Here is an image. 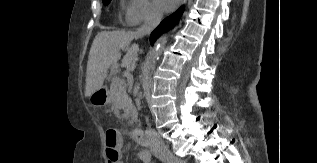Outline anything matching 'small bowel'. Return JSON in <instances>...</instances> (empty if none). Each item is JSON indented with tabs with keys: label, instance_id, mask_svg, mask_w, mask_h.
I'll return each mask as SVG.
<instances>
[{
	"label": "small bowel",
	"instance_id": "obj_1",
	"mask_svg": "<svg viewBox=\"0 0 317 163\" xmlns=\"http://www.w3.org/2000/svg\"><path fill=\"white\" fill-rule=\"evenodd\" d=\"M138 156L141 163H151V156L149 151L141 150Z\"/></svg>",
	"mask_w": 317,
	"mask_h": 163
}]
</instances>
